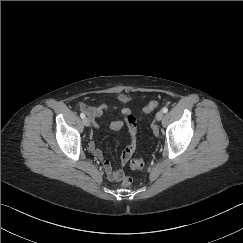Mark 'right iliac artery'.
Returning a JSON list of instances; mask_svg holds the SVG:
<instances>
[{
    "label": "right iliac artery",
    "mask_w": 243,
    "mask_h": 243,
    "mask_svg": "<svg viewBox=\"0 0 243 243\" xmlns=\"http://www.w3.org/2000/svg\"><path fill=\"white\" fill-rule=\"evenodd\" d=\"M80 117H81L82 119H84V118H85V114H84V113H81V114H80Z\"/></svg>",
    "instance_id": "1"
}]
</instances>
